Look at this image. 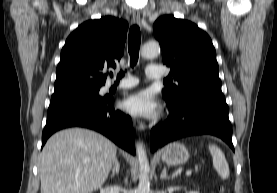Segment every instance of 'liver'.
Here are the masks:
<instances>
[{
    "mask_svg": "<svg viewBox=\"0 0 277 193\" xmlns=\"http://www.w3.org/2000/svg\"><path fill=\"white\" fill-rule=\"evenodd\" d=\"M117 146L88 129L70 128L49 138L41 153V193H92L106 181Z\"/></svg>",
    "mask_w": 277,
    "mask_h": 193,
    "instance_id": "1",
    "label": "liver"
}]
</instances>
